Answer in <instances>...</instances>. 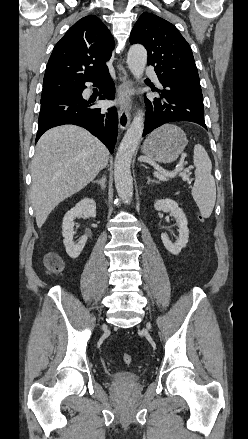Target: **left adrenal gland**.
I'll return each instance as SVG.
<instances>
[{"mask_svg":"<svg viewBox=\"0 0 248 439\" xmlns=\"http://www.w3.org/2000/svg\"><path fill=\"white\" fill-rule=\"evenodd\" d=\"M150 183H158V181L156 180H152L149 176L147 177V184L149 185Z\"/></svg>","mask_w":248,"mask_h":439,"instance_id":"1","label":"left adrenal gland"}]
</instances>
